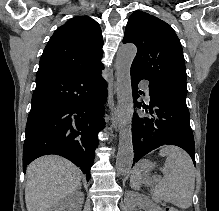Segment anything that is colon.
<instances>
[{
	"instance_id": "obj_1",
	"label": "colon",
	"mask_w": 219,
	"mask_h": 211,
	"mask_svg": "<svg viewBox=\"0 0 219 211\" xmlns=\"http://www.w3.org/2000/svg\"><path fill=\"white\" fill-rule=\"evenodd\" d=\"M164 211H179L178 209H176L175 207L173 206H166L164 208Z\"/></svg>"
}]
</instances>
